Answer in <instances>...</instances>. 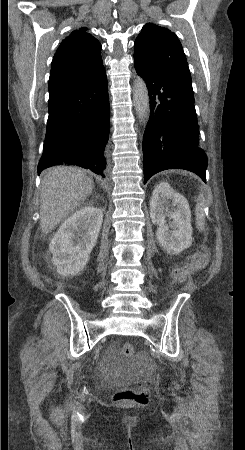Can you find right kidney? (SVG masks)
<instances>
[{
  "mask_svg": "<svg viewBox=\"0 0 245 450\" xmlns=\"http://www.w3.org/2000/svg\"><path fill=\"white\" fill-rule=\"evenodd\" d=\"M102 221L101 209L86 206L61 224L50 243L52 263L60 275H76L84 269L96 245Z\"/></svg>",
  "mask_w": 245,
  "mask_h": 450,
  "instance_id": "right-kidney-1",
  "label": "right kidney"
}]
</instances>
